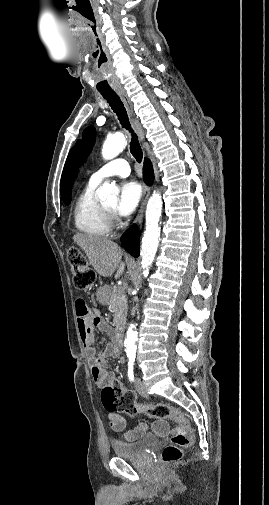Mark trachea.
I'll return each instance as SVG.
<instances>
[{
    "mask_svg": "<svg viewBox=\"0 0 269 505\" xmlns=\"http://www.w3.org/2000/svg\"><path fill=\"white\" fill-rule=\"evenodd\" d=\"M101 95L107 100L112 110L116 113L118 120L123 128L127 129L131 133V142H130V152L133 157L136 159L138 163H141L143 158V152L138 142V137L134 133L131 128L127 111L124 107L123 102L120 97L114 92H101Z\"/></svg>",
    "mask_w": 269,
    "mask_h": 505,
    "instance_id": "trachea-1",
    "label": "trachea"
}]
</instances>
